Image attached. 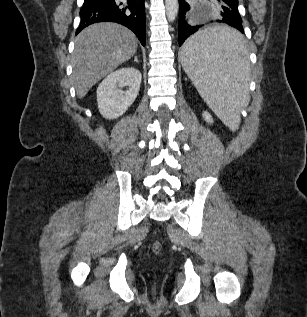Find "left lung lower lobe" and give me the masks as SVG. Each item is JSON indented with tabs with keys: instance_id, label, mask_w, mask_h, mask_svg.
Listing matches in <instances>:
<instances>
[{
	"instance_id": "1",
	"label": "left lung lower lobe",
	"mask_w": 307,
	"mask_h": 317,
	"mask_svg": "<svg viewBox=\"0 0 307 317\" xmlns=\"http://www.w3.org/2000/svg\"><path fill=\"white\" fill-rule=\"evenodd\" d=\"M217 1L221 8L220 14L222 18L221 20H216V22L230 25L239 30L243 34L244 30L242 25V19L239 14L238 7L235 4H233L230 0ZM189 10V4L186 3L185 0H179V46H181L190 35H192L198 29L204 26V24L196 25L189 19ZM242 40L243 36L241 35V38L239 39L226 41L221 46L222 53H224L227 56H236L241 50Z\"/></svg>"
}]
</instances>
